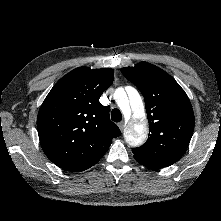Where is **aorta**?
<instances>
[{
	"label": "aorta",
	"mask_w": 221,
	"mask_h": 221,
	"mask_svg": "<svg viewBox=\"0 0 221 221\" xmlns=\"http://www.w3.org/2000/svg\"><path fill=\"white\" fill-rule=\"evenodd\" d=\"M118 94L117 104L122 112L125 115H130V110H132L134 113L125 132V140L131 146H138L146 140L148 133L143 101L134 88H131L128 95L124 89H119Z\"/></svg>",
	"instance_id": "762f6f07"
}]
</instances>
